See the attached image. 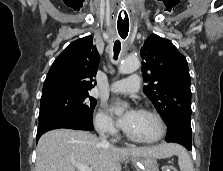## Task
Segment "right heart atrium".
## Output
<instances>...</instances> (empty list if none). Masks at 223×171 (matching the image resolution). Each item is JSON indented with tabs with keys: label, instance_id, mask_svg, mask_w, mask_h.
I'll return each mask as SVG.
<instances>
[{
	"label": "right heart atrium",
	"instance_id": "d8ad5b80",
	"mask_svg": "<svg viewBox=\"0 0 223 171\" xmlns=\"http://www.w3.org/2000/svg\"><path fill=\"white\" fill-rule=\"evenodd\" d=\"M94 125L97 131L103 135L114 137L118 133L113 119L102 108L97 111L94 117Z\"/></svg>",
	"mask_w": 223,
	"mask_h": 171
}]
</instances>
